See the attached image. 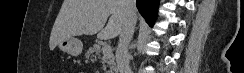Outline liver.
Instances as JSON below:
<instances>
[{
    "label": "liver",
    "mask_w": 244,
    "mask_h": 73,
    "mask_svg": "<svg viewBox=\"0 0 244 73\" xmlns=\"http://www.w3.org/2000/svg\"><path fill=\"white\" fill-rule=\"evenodd\" d=\"M121 1L64 0L51 31L50 50L73 36L97 34L103 40L117 37L125 23Z\"/></svg>",
    "instance_id": "obj_1"
}]
</instances>
